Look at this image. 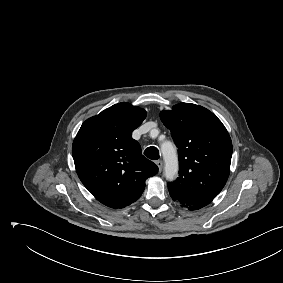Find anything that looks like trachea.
Instances as JSON below:
<instances>
[{"mask_svg":"<svg viewBox=\"0 0 283 283\" xmlns=\"http://www.w3.org/2000/svg\"><path fill=\"white\" fill-rule=\"evenodd\" d=\"M144 155L151 160H157L160 157L158 149L154 146L148 147L144 151Z\"/></svg>","mask_w":283,"mask_h":283,"instance_id":"trachea-1","label":"trachea"}]
</instances>
